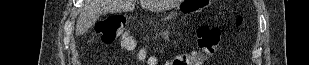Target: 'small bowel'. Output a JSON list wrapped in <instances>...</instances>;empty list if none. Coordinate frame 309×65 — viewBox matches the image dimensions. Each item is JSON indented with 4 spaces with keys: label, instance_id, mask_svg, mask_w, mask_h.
<instances>
[{
    "label": "small bowel",
    "instance_id": "c3829d8e",
    "mask_svg": "<svg viewBox=\"0 0 309 65\" xmlns=\"http://www.w3.org/2000/svg\"><path fill=\"white\" fill-rule=\"evenodd\" d=\"M149 65H154V63L152 62V60L148 63Z\"/></svg>",
    "mask_w": 309,
    "mask_h": 65
}]
</instances>
